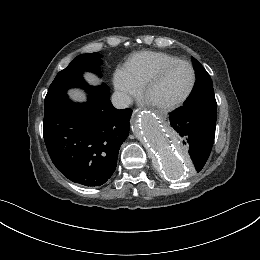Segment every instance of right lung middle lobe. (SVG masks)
<instances>
[{"instance_id": "dd1d6c3e", "label": "right lung middle lobe", "mask_w": 260, "mask_h": 260, "mask_svg": "<svg viewBox=\"0 0 260 260\" xmlns=\"http://www.w3.org/2000/svg\"><path fill=\"white\" fill-rule=\"evenodd\" d=\"M100 58L101 55L97 52L77 56L65 69L57 74L48 89L46 98L65 93L71 87L87 89L89 86L82 74L84 71H90L101 76L99 64H101L102 60Z\"/></svg>"}]
</instances>
